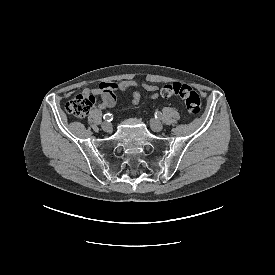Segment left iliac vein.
<instances>
[{
    "instance_id": "4c4485c4",
    "label": "left iliac vein",
    "mask_w": 275,
    "mask_h": 275,
    "mask_svg": "<svg viewBox=\"0 0 275 275\" xmlns=\"http://www.w3.org/2000/svg\"><path fill=\"white\" fill-rule=\"evenodd\" d=\"M150 126L153 131H161L163 129L162 123L157 119H151Z\"/></svg>"
}]
</instances>
